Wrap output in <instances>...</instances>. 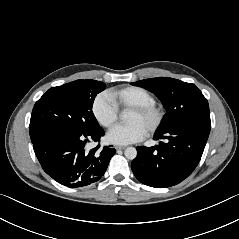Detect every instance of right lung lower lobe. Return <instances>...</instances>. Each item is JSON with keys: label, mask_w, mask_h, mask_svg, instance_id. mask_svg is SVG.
Instances as JSON below:
<instances>
[{"label": "right lung lower lobe", "mask_w": 239, "mask_h": 239, "mask_svg": "<svg viewBox=\"0 0 239 239\" xmlns=\"http://www.w3.org/2000/svg\"><path fill=\"white\" fill-rule=\"evenodd\" d=\"M104 134L100 126L87 132L49 131L33 142V148L43 170L54 180L67 187H82L104 175L116 152L111 146L99 149L100 145L86 150L87 142H99Z\"/></svg>", "instance_id": "98d812e1"}]
</instances>
